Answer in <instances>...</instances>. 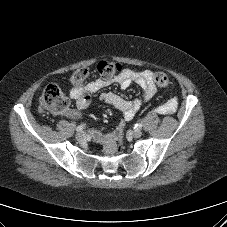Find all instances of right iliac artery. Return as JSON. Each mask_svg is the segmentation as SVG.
<instances>
[{"instance_id":"82829eb1","label":"right iliac artery","mask_w":227,"mask_h":227,"mask_svg":"<svg viewBox=\"0 0 227 227\" xmlns=\"http://www.w3.org/2000/svg\"><path fill=\"white\" fill-rule=\"evenodd\" d=\"M83 128H84V125H80V126H78L77 128H76V131H82L83 130Z\"/></svg>"}]
</instances>
